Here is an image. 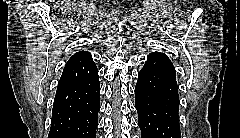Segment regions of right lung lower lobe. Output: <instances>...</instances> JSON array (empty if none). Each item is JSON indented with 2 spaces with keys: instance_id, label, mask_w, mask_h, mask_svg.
Listing matches in <instances>:
<instances>
[{
  "instance_id": "98d812e1",
  "label": "right lung lower lobe",
  "mask_w": 240,
  "mask_h": 138,
  "mask_svg": "<svg viewBox=\"0 0 240 138\" xmlns=\"http://www.w3.org/2000/svg\"><path fill=\"white\" fill-rule=\"evenodd\" d=\"M98 73L56 91L48 138H96L100 109Z\"/></svg>"
}]
</instances>
